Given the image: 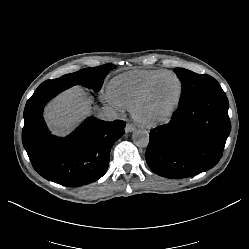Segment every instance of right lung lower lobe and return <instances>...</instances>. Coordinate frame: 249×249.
I'll use <instances>...</instances> for the list:
<instances>
[{
	"mask_svg": "<svg viewBox=\"0 0 249 249\" xmlns=\"http://www.w3.org/2000/svg\"><path fill=\"white\" fill-rule=\"evenodd\" d=\"M65 89L35 91L24 109L22 141L34 169L41 176L64 186L78 187L106 173L110 150L124 134L126 124L89 117L65 138L51 135L43 120V108Z\"/></svg>",
	"mask_w": 249,
	"mask_h": 249,
	"instance_id": "1",
	"label": "right lung lower lobe"
}]
</instances>
